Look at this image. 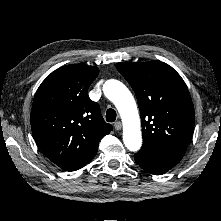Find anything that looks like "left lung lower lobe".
Wrapping results in <instances>:
<instances>
[{
    "label": "left lung lower lobe",
    "instance_id": "obj_1",
    "mask_svg": "<svg viewBox=\"0 0 221 221\" xmlns=\"http://www.w3.org/2000/svg\"><path fill=\"white\" fill-rule=\"evenodd\" d=\"M134 157L142 169L154 175L166 173L182 159L161 154L149 147H142Z\"/></svg>",
    "mask_w": 221,
    "mask_h": 221
}]
</instances>
